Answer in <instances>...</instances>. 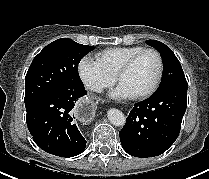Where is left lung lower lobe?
Here are the masks:
<instances>
[{
  "mask_svg": "<svg viewBox=\"0 0 209 179\" xmlns=\"http://www.w3.org/2000/svg\"><path fill=\"white\" fill-rule=\"evenodd\" d=\"M187 87L175 85L135 104L119 132L128 154L143 158L158 156L175 142L187 107Z\"/></svg>",
  "mask_w": 209,
  "mask_h": 179,
  "instance_id": "1",
  "label": "left lung lower lobe"
}]
</instances>
